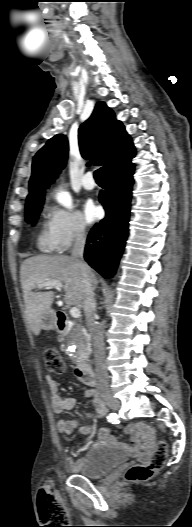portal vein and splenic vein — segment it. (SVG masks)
Returning a JSON list of instances; mask_svg holds the SVG:
<instances>
[{
  "mask_svg": "<svg viewBox=\"0 0 192 527\" xmlns=\"http://www.w3.org/2000/svg\"><path fill=\"white\" fill-rule=\"evenodd\" d=\"M38 287L39 288H43V287H55V288H58V289H61L63 288V285L61 282L59 281H56V280H47L45 282H42V283H39L38 284ZM70 315L75 318V319H78L81 317V313H80V310L77 308V307H73L70 309Z\"/></svg>",
  "mask_w": 192,
  "mask_h": 527,
  "instance_id": "18ae733b",
  "label": "portal vein and splenic vein"
}]
</instances>
